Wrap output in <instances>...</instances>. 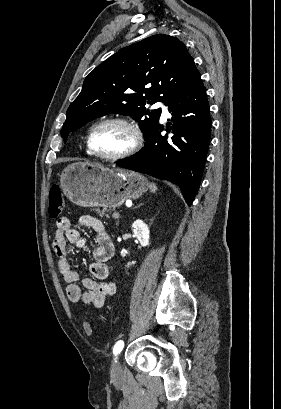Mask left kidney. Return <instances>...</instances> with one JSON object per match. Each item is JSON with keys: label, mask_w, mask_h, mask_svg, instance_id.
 <instances>
[{"label": "left kidney", "mask_w": 281, "mask_h": 409, "mask_svg": "<svg viewBox=\"0 0 281 409\" xmlns=\"http://www.w3.org/2000/svg\"><path fill=\"white\" fill-rule=\"evenodd\" d=\"M132 231H133L134 237L138 239L142 247H147V245H149L150 231L146 223H143V221H140V219H137V221H134L132 225ZM135 263L136 261H132L130 265H135Z\"/></svg>", "instance_id": "obj_1"}]
</instances>
